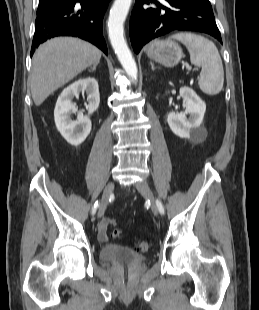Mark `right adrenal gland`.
Segmentation results:
<instances>
[{"label": "right adrenal gland", "instance_id": "obj_1", "mask_svg": "<svg viewBox=\"0 0 259 310\" xmlns=\"http://www.w3.org/2000/svg\"><path fill=\"white\" fill-rule=\"evenodd\" d=\"M98 64H99V62L93 64V66L90 67V70H89V71L95 72V71H96V67H97Z\"/></svg>", "mask_w": 259, "mask_h": 310}]
</instances>
